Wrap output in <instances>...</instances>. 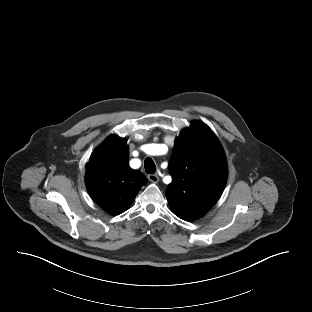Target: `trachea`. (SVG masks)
<instances>
[{
	"label": "trachea",
	"instance_id": "obj_1",
	"mask_svg": "<svg viewBox=\"0 0 312 312\" xmlns=\"http://www.w3.org/2000/svg\"><path fill=\"white\" fill-rule=\"evenodd\" d=\"M145 171L149 174H154L156 171V166L151 158H146L144 162Z\"/></svg>",
	"mask_w": 312,
	"mask_h": 312
}]
</instances>
